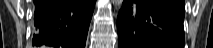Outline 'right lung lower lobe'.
<instances>
[{
  "mask_svg": "<svg viewBox=\"0 0 213 48\" xmlns=\"http://www.w3.org/2000/svg\"><path fill=\"white\" fill-rule=\"evenodd\" d=\"M33 46L85 48L95 1L34 0Z\"/></svg>",
  "mask_w": 213,
  "mask_h": 48,
  "instance_id": "right-lung-lower-lobe-1",
  "label": "right lung lower lobe"
}]
</instances>
